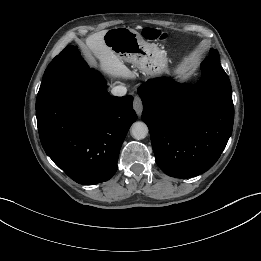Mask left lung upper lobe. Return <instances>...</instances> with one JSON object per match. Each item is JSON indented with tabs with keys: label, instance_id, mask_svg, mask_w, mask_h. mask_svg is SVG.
I'll use <instances>...</instances> for the list:
<instances>
[{
	"label": "left lung upper lobe",
	"instance_id": "5c2ea615",
	"mask_svg": "<svg viewBox=\"0 0 261 261\" xmlns=\"http://www.w3.org/2000/svg\"><path fill=\"white\" fill-rule=\"evenodd\" d=\"M208 59H215V60H219V53L218 51L214 50V49H211L210 52H209V56L206 57Z\"/></svg>",
	"mask_w": 261,
	"mask_h": 261
}]
</instances>
